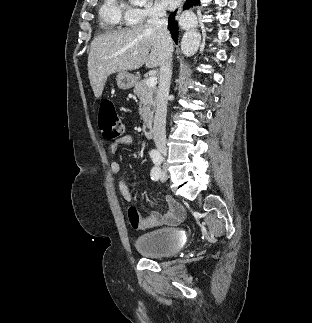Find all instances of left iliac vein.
<instances>
[{
	"label": "left iliac vein",
	"mask_w": 312,
	"mask_h": 323,
	"mask_svg": "<svg viewBox=\"0 0 312 323\" xmlns=\"http://www.w3.org/2000/svg\"><path fill=\"white\" fill-rule=\"evenodd\" d=\"M166 178H167V169H166V166L164 165L163 168H162V172H161V174L159 176V179L161 181H165Z\"/></svg>",
	"instance_id": "1"
}]
</instances>
